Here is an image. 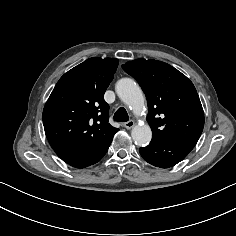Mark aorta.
Returning <instances> with one entry per match:
<instances>
[{
  "label": "aorta",
  "instance_id": "obj_1",
  "mask_svg": "<svg viewBox=\"0 0 236 236\" xmlns=\"http://www.w3.org/2000/svg\"><path fill=\"white\" fill-rule=\"evenodd\" d=\"M115 91L118 97L130 107L135 113H140L144 108V96L138 84L130 78L120 79L115 86ZM131 136L134 142L139 146L149 144L152 138V131L149 125H136L132 131Z\"/></svg>",
  "mask_w": 236,
  "mask_h": 236
}]
</instances>
